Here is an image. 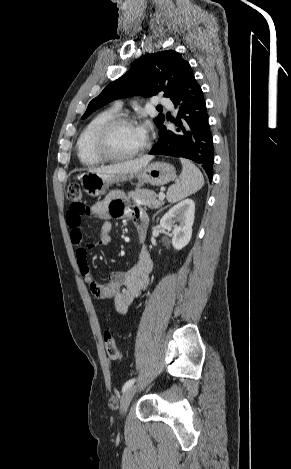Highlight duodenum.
Segmentation results:
<instances>
[{
    "instance_id": "1",
    "label": "duodenum",
    "mask_w": 291,
    "mask_h": 469,
    "mask_svg": "<svg viewBox=\"0 0 291 469\" xmlns=\"http://www.w3.org/2000/svg\"><path fill=\"white\" fill-rule=\"evenodd\" d=\"M139 235H140V237L142 238L144 234H143L142 231H139Z\"/></svg>"
}]
</instances>
